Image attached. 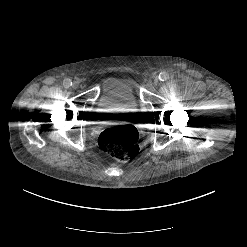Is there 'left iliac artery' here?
<instances>
[{
    "instance_id": "left-iliac-artery-1",
    "label": "left iliac artery",
    "mask_w": 247,
    "mask_h": 247,
    "mask_svg": "<svg viewBox=\"0 0 247 247\" xmlns=\"http://www.w3.org/2000/svg\"><path fill=\"white\" fill-rule=\"evenodd\" d=\"M158 78L160 81H166L167 79H169V74L166 72H161Z\"/></svg>"
}]
</instances>
